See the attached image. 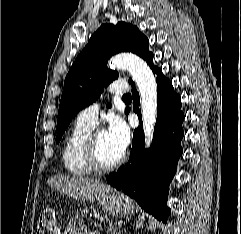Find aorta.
<instances>
[{
  "instance_id": "aorta-1",
  "label": "aorta",
  "mask_w": 241,
  "mask_h": 234,
  "mask_svg": "<svg viewBox=\"0 0 241 234\" xmlns=\"http://www.w3.org/2000/svg\"><path fill=\"white\" fill-rule=\"evenodd\" d=\"M112 69H127L136 82L141 98V110L146 145L150 146L157 117V84L147 63L133 54H119L110 61Z\"/></svg>"
}]
</instances>
